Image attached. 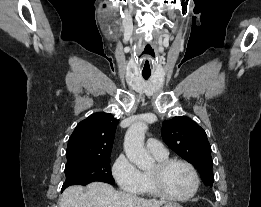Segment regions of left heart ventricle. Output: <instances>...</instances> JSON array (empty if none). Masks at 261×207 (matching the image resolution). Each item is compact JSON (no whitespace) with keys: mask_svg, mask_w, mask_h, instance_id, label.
Segmentation results:
<instances>
[{"mask_svg":"<svg viewBox=\"0 0 261 207\" xmlns=\"http://www.w3.org/2000/svg\"><path fill=\"white\" fill-rule=\"evenodd\" d=\"M156 171V166L151 173ZM162 185L171 195L183 196L188 194L193 187L190 171L181 164H174L167 168L161 176Z\"/></svg>","mask_w":261,"mask_h":207,"instance_id":"b2bd125f","label":"left heart ventricle"}]
</instances>
